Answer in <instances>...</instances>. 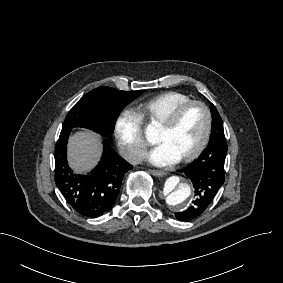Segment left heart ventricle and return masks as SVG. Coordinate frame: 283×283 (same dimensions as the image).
Masks as SVG:
<instances>
[{
  "label": "left heart ventricle",
  "mask_w": 283,
  "mask_h": 283,
  "mask_svg": "<svg viewBox=\"0 0 283 283\" xmlns=\"http://www.w3.org/2000/svg\"><path fill=\"white\" fill-rule=\"evenodd\" d=\"M205 132V115L199 106L189 107L175 126L166 130L158 124L154 142L168 144L179 157L194 150Z\"/></svg>",
  "instance_id": "obj_1"
}]
</instances>
